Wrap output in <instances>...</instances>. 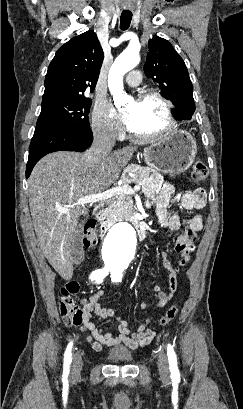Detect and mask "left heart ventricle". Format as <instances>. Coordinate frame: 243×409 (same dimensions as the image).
<instances>
[{"label": "left heart ventricle", "mask_w": 243, "mask_h": 409, "mask_svg": "<svg viewBox=\"0 0 243 409\" xmlns=\"http://www.w3.org/2000/svg\"><path fill=\"white\" fill-rule=\"evenodd\" d=\"M124 112L129 118L128 129L134 134H152L164 128L166 124L164 108L155 99L133 100Z\"/></svg>", "instance_id": "1"}]
</instances>
